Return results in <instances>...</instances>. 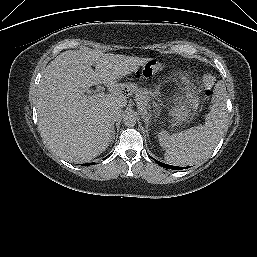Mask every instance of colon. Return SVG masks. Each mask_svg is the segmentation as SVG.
<instances>
[{
    "instance_id": "5ec220e1",
    "label": "colon",
    "mask_w": 257,
    "mask_h": 257,
    "mask_svg": "<svg viewBox=\"0 0 257 257\" xmlns=\"http://www.w3.org/2000/svg\"><path fill=\"white\" fill-rule=\"evenodd\" d=\"M163 70V65L157 61H149L141 67L137 72L140 78H150ZM216 83V76L212 73H207L203 76L201 81V88L206 97H210L213 86Z\"/></svg>"
}]
</instances>
